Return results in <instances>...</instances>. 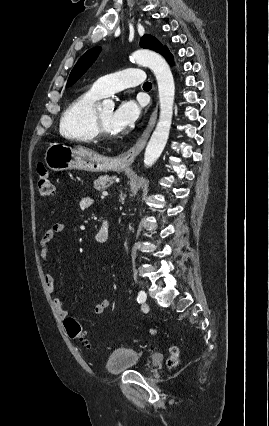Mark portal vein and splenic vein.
I'll list each match as a JSON object with an SVG mask.
<instances>
[{"label": "portal vein and splenic vein", "instance_id": "obj_1", "mask_svg": "<svg viewBox=\"0 0 269 426\" xmlns=\"http://www.w3.org/2000/svg\"><path fill=\"white\" fill-rule=\"evenodd\" d=\"M108 195V193L106 192V191H104L103 193H102V196H107Z\"/></svg>", "mask_w": 269, "mask_h": 426}]
</instances>
